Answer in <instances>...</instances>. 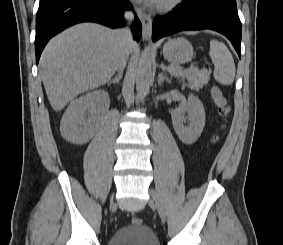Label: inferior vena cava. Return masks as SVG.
Listing matches in <instances>:
<instances>
[{
	"label": "inferior vena cava",
	"instance_id": "inferior-vena-cava-1",
	"mask_svg": "<svg viewBox=\"0 0 283 245\" xmlns=\"http://www.w3.org/2000/svg\"><path fill=\"white\" fill-rule=\"evenodd\" d=\"M125 17L127 20H132L133 15L131 12H128L125 14ZM120 35V37L122 38V40L124 41L125 44H129L131 42V37H130V33L127 30H119L117 31ZM128 57V53L126 50H123V52L121 53V57H120V61L118 64V71H120V73L123 71L125 65H126V60Z\"/></svg>",
	"mask_w": 283,
	"mask_h": 245
}]
</instances>
